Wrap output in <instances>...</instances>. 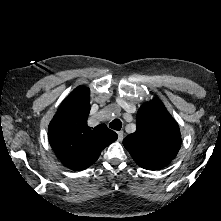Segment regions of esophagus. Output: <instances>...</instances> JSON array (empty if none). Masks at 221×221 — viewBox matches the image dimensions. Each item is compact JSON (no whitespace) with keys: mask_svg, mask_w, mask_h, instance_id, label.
<instances>
[{"mask_svg":"<svg viewBox=\"0 0 221 221\" xmlns=\"http://www.w3.org/2000/svg\"><path fill=\"white\" fill-rule=\"evenodd\" d=\"M117 135H118V140L122 141L123 140V136H124V132L123 131H118Z\"/></svg>","mask_w":221,"mask_h":221,"instance_id":"1","label":"esophagus"}]
</instances>
